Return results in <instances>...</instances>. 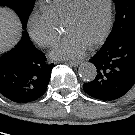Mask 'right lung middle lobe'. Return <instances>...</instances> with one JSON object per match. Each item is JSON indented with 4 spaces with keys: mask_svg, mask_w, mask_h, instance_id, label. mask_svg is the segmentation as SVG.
Segmentation results:
<instances>
[{
    "mask_svg": "<svg viewBox=\"0 0 135 135\" xmlns=\"http://www.w3.org/2000/svg\"><path fill=\"white\" fill-rule=\"evenodd\" d=\"M35 0H0V6L12 8L19 16L22 26L26 29L27 20L34 7Z\"/></svg>",
    "mask_w": 135,
    "mask_h": 135,
    "instance_id": "obj_1",
    "label": "right lung middle lobe"
}]
</instances>
